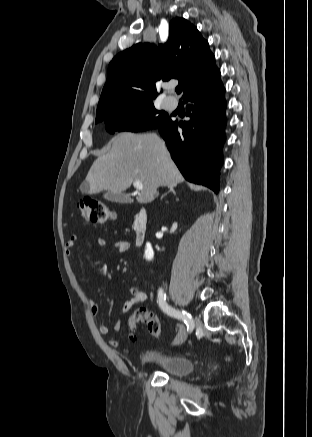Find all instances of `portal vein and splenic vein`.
<instances>
[{"label":"portal vein and splenic vein","instance_id":"18ae733b","mask_svg":"<svg viewBox=\"0 0 312 437\" xmlns=\"http://www.w3.org/2000/svg\"><path fill=\"white\" fill-rule=\"evenodd\" d=\"M133 186H134L137 190H142V189H143V184H142L140 181H138V180H136V181L133 182Z\"/></svg>","mask_w":312,"mask_h":437}]
</instances>
